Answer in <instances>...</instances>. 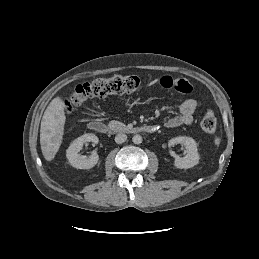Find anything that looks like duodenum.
Here are the masks:
<instances>
[{"instance_id": "obj_1", "label": "duodenum", "mask_w": 259, "mask_h": 259, "mask_svg": "<svg viewBox=\"0 0 259 259\" xmlns=\"http://www.w3.org/2000/svg\"><path fill=\"white\" fill-rule=\"evenodd\" d=\"M88 127L92 131L100 134H107L112 131H121V132L132 133V134L153 133L156 131V127L154 125H140V126L129 127V128H120V127L109 126L99 121H91L88 124Z\"/></svg>"}]
</instances>
